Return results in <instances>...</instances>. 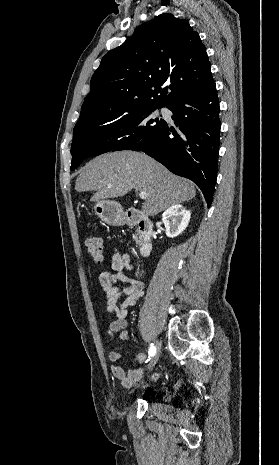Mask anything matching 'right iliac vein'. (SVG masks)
Here are the masks:
<instances>
[{
  "instance_id": "right-iliac-vein-1",
  "label": "right iliac vein",
  "mask_w": 279,
  "mask_h": 465,
  "mask_svg": "<svg viewBox=\"0 0 279 465\" xmlns=\"http://www.w3.org/2000/svg\"><path fill=\"white\" fill-rule=\"evenodd\" d=\"M160 355H161V344L158 341H156V353L149 365V369L152 368L158 362Z\"/></svg>"
}]
</instances>
